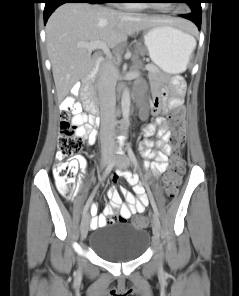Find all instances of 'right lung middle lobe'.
Listing matches in <instances>:
<instances>
[{"label":"right lung middle lobe","instance_id":"1","mask_svg":"<svg viewBox=\"0 0 239 296\" xmlns=\"http://www.w3.org/2000/svg\"><path fill=\"white\" fill-rule=\"evenodd\" d=\"M100 1H104V2H107L108 0H100Z\"/></svg>","mask_w":239,"mask_h":296}]
</instances>
